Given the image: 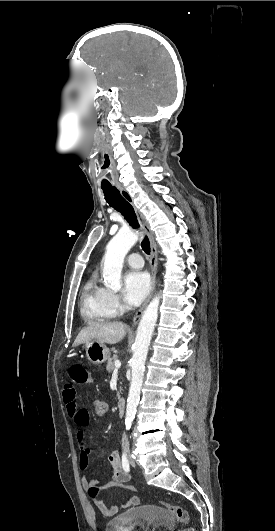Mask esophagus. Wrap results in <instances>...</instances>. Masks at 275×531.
<instances>
[{"label":"esophagus","mask_w":275,"mask_h":531,"mask_svg":"<svg viewBox=\"0 0 275 531\" xmlns=\"http://www.w3.org/2000/svg\"><path fill=\"white\" fill-rule=\"evenodd\" d=\"M116 186H117L118 190L120 191L121 195L123 196V198H125L129 202H132L129 193L120 184H117ZM135 212H136L138 221L140 222L143 230L147 233V236H148L149 241H150V249H151V257H150L151 289H150L149 295L147 296V299L144 301L143 305L141 306V308L137 311V313L134 316V319H133V324L134 325H136L138 323V321L140 320L141 315H142L144 309L146 308V306H147L148 302L150 301L151 296L153 294V290H154V286H155L156 268H157V262H158V254H157V249H156V243H155V240H154V234H153L152 230L150 229V226H149L147 220L145 219V216H143V214L140 213V211H138L136 208H135Z\"/></svg>","instance_id":"esophagus-1"}]
</instances>
